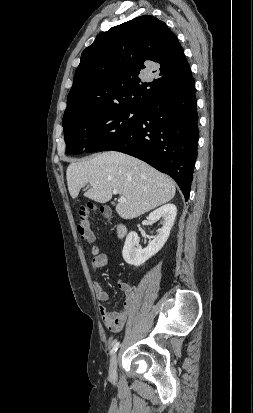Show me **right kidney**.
<instances>
[{
    "instance_id": "1",
    "label": "right kidney",
    "mask_w": 253,
    "mask_h": 413,
    "mask_svg": "<svg viewBox=\"0 0 253 413\" xmlns=\"http://www.w3.org/2000/svg\"><path fill=\"white\" fill-rule=\"evenodd\" d=\"M177 208L174 204H165L149 214L150 223L163 218V225L158 235L144 249L139 245V237L136 232H130L125 240L122 255L126 263L140 266L158 253L167 241L174 224Z\"/></svg>"
}]
</instances>
